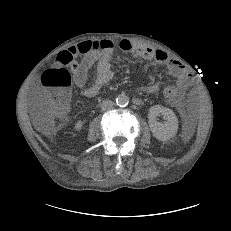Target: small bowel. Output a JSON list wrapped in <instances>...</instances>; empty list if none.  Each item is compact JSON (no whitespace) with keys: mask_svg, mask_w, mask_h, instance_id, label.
Wrapping results in <instances>:
<instances>
[{"mask_svg":"<svg viewBox=\"0 0 231 231\" xmlns=\"http://www.w3.org/2000/svg\"><path fill=\"white\" fill-rule=\"evenodd\" d=\"M118 47L121 51L134 57L153 60L160 65L166 66L169 73L176 78V86L179 90H184L191 84V76L184 66L177 60L172 59L168 54L160 49L150 46L140 45L130 40H122ZM116 44L108 39L87 41L71 46L63 53L61 64L70 67L73 72V81L78 88H83V95L88 98L95 97L102 86L108 83L114 72L111 68V57L115 51ZM81 57L80 61L75 58ZM97 62V73L94 82L85 87L88 72L92 65ZM158 90V84H150L145 87V92L154 93ZM170 105L179 104V99L167 100Z\"/></svg>","mask_w":231,"mask_h":231,"instance_id":"obj_1","label":"small bowel"}]
</instances>
